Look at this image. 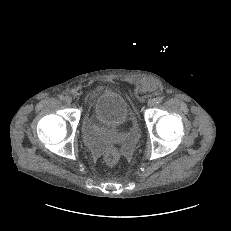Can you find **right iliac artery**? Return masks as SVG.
Returning a JSON list of instances; mask_svg holds the SVG:
<instances>
[{"mask_svg": "<svg viewBox=\"0 0 231 231\" xmlns=\"http://www.w3.org/2000/svg\"><path fill=\"white\" fill-rule=\"evenodd\" d=\"M59 99H60V100H64V96H63V95H60V96H59Z\"/></svg>", "mask_w": 231, "mask_h": 231, "instance_id": "1", "label": "right iliac artery"}]
</instances>
